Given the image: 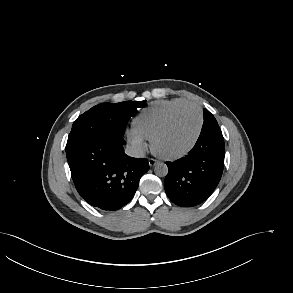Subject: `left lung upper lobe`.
I'll list each match as a JSON object with an SVG mask.
<instances>
[{"mask_svg":"<svg viewBox=\"0 0 293 293\" xmlns=\"http://www.w3.org/2000/svg\"><path fill=\"white\" fill-rule=\"evenodd\" d=\"M203 112H204V123H203L202 129H206L211 126H218V123L215 117L207 109H204Z\"/></svg>","mask_w":293,"mask_h":293,"instance_id":"5c2ea615","label":"left lung upper lobe"}]
</instances>
